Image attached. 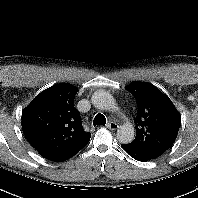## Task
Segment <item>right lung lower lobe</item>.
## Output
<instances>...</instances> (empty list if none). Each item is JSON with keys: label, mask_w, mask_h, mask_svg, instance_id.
<instances>
[{"label": "right lung lower lobe", "mask_w": 198, "mask_h": 198, "mask_svg": "<svg viewBox=\"0 0 198 198\" xmlns=\"http://www.w3.org/2000/svg\"><path fill=\"white\" fill-rule=\"evenodd\" d=\"M87 145V143L76 146L71 149L63 150V151H56V152H39L44 158L54 161V162H62L65 160H68L72 156H74L76 153H78L82 148H84Z\"/></svg>", "instance_id": "1"}]
</instances>
